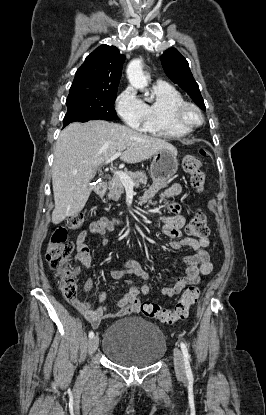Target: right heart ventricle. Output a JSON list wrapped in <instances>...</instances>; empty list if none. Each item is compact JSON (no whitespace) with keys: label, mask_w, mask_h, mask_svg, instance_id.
<instances>
[{"label":"right heart ventricle","mask_w":266,"mask_h":415,"mask_svg":"<svg viewBox=\"0 0 266 415\" xmlns=\"http://www.w3.org/2000/svg\"><path fill=\"white\" fill-rule=\"evenodd\" d=\"M184 101L182 94L172 85L157 82L152 87V98L145 103L144 132L163 138H180L191 129L179 126L172 117L173 107Z\"/></svg>","instance_id":"1"}]
</instances>
